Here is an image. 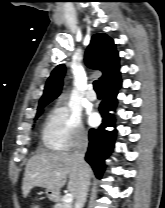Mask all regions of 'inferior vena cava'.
<instances>
[{
  "label": "inferior vena cava",
  "mask_w": 165,
  "mask_h": 208,
  "mask_svg": "<svg viewBox=\"0 0 165 208\" xmlns=\"http://www.w3.org/2000/svg\"><path fill=\"white\" fill-rule=\"evenodd\" d=\"M88 147V138L85 133H80L77 137V141L74 145L72 157L77 166L80 177V189L76 197L74 208H83L90 185V179L88 174V165L84 160L85 153Z\"/></svg>",
  "instance_id": "inferior-vena-cava-1"
}]
</instances>
